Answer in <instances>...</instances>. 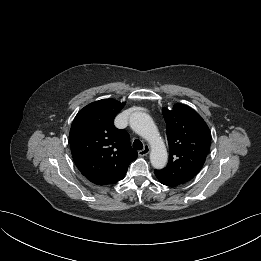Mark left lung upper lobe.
I'll use <instances>...</instances> for the list:
<instances>
[{"label": "left lung upper lobe", "instance_id": "left-lung-upper-lobe-1", "mask_svg": "<svg viewBox=\"0 0 261 261\" xmlns=\"http://www.w3.org/2000/svg\"><path fill=\"white\" fill-rule=\"evenodd\" d=\"M169 143V162L155 173L184 184L201 170L210 149L211 132L201 116L189 106L176 104L162 110Z\"/></svg>", "mask_w": 261, "mask_h": 261}]
</instances>
